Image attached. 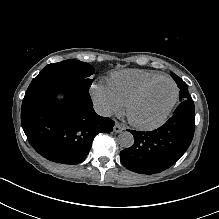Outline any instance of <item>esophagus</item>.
Returning a JSON list of instances; mask_svg holds the SVG:
<instances>
[{
    "label": "esophagus",
    "mask_w": 219,
    "mask_h": 219,
    "mask_svg": "<svg viewBox=\"0 0 219 219\" xmlns=\"http://www.w3.org/2000/svg\"><path fill=\"white\" fill-rule=\"evenodd\" d=\"M124 130V127L122 125H120L119 123H115L114 127H113V131L116 133H120Z\"/></svg>",
    "instance_id": "esophagus-1"
}]
</instances>
